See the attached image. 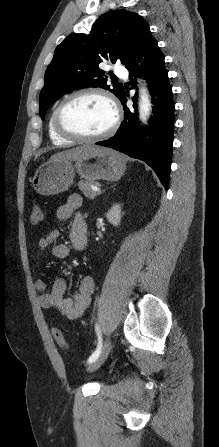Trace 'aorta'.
Instances as JSON below:
<instances>
[{"mask_svg":"<svg viewBox=\"0 0 219 447\" xmlns=\"http://www.w3.org/2000/svg\"><path fill=\"white\" fill-rule=\"evenodd\" d=\"M151 112V100L145 85L140 87L139 94V115L142 122H146Z\"/></svg>","mask_w":219,"mask_h":447,"instance_id":"1","label":"aorta"}]
</instances>
